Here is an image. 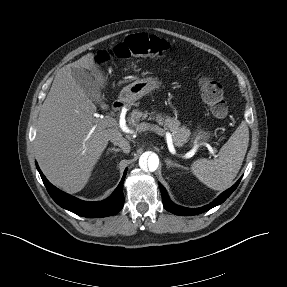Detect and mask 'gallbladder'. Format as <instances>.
<instances>
[{"instance_id":"gallbladder-1","label":"gallbladder","mask_w":287,"mask_h":287,"mask_svg":"<svg viewBox=\"0 0 287 287\" xmlns=\"http://www.w3.org/2000/svg\"><path fill=\"white\" fill-rule=\"evenodd\" d=\"M72 76L89 99L100 106H105L100 87L89 71L83 68H72Z\"/></svg>"}]
</instances>
